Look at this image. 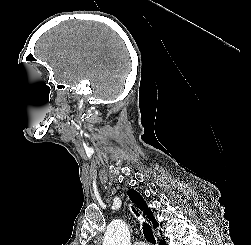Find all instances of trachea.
<instances>
[{"mask_svg": "<svg viewBox=\"0 0 251 245\" xmlns=\"http://www.w3.org/2000/svg\"><path fill=\"white\" fill-rule=\"evenodd\" d=\"M132 209H133L134 213H135L137 216H139V213H138L134 208H132ZM143 234H144L145 239H146L148 242L152 243L153 245L156 244V240H155V237H154V235H153L152 228H151V226H150L149 224H147V223H143Z\"/></svg>", "mask_w": 251, "mask_h": 245, "instance_id": "1", "label": "trachea"}]
</instances>
